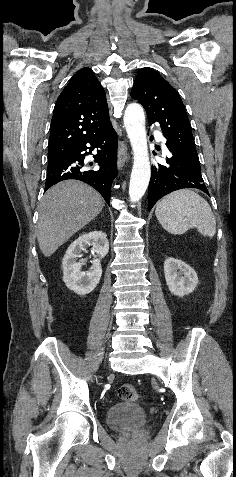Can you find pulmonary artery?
Masks as SVG:
<instances>
[{
    "label": "pulmonary artery",
    "instance_id": "obj_1",
    "mask_svg": "<svg viewBox=\"0 0 236 477\" xmlns=\"http://www.w3.org/2000/svg\"><path fill=\"white\" fill-rule=\"evenodd\" d=\"M157 139L161 142H164V138L161 135H156Z\"/></svg>",
    "mask_w": 236,
    "mask_h": 477
}]
</instances>
